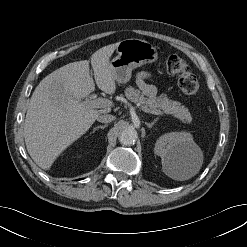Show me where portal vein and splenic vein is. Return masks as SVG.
Here are the masks:
<instances>
[{"label": "portal vein and splenic vein", "mask_w": 247, "mask_h": 247, "mask_svg": "<svg viewBox=\"0 0 247 247\" xmlns=\"http://www.w3.org/2000/svg\"><path fill=\"white\" fill-rule=\"evenodd\" d=\"M85 104L90 105L94 108H110L113 105V102L104 99V98H97V99H90V100H85ZM141 110L145 113L153 114V115H162L163 113L160 110H150L147 107H144L141 105Z\"/></svg>", "instance_id": "18ae733b"}]
</instances>
